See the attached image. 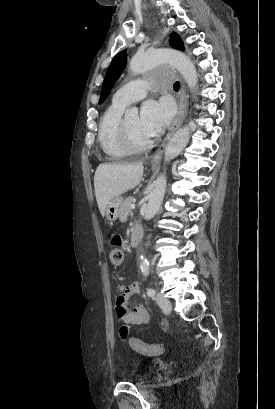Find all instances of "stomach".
Masks as SVG:
<instances>
[{
    "mask_svg": "<svg viewBox=\"0 0 275 409\" xmlns=\"http://www.w3.org/2000/svg\"><path fill=\"white\" fill-rule=\"evenodd\" d=\"M123 202V196H115V198H111L109 202H107L106 209H105V215L107 221H110V223H113V221H116L119 217V209L122 205Z\"/></svg>",
    "mask_w": 275,
    "mask_h": 409,
    "instance_id": "obj_1",
    "label": "stomach"
}]
</instances>
